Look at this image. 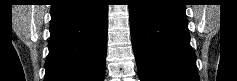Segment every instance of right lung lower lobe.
Returning a JSON list of instances; mask_svg holds the SVG:
<instances>
[{"instance_id": "obj_1", "label": "right lung lower lobe", "mask_w": 237, "mask_h": 81, "mask_svg": "<svg viewBox=\"0 0 237 81\" xmlns=\"http://www.w3.org/2000/svg\"><path fill=\"white\" fill-rule=\"evenodd\" d=\"M107 24L103 0L55 2L44 81H103Z\"/></svg>"}]
</instances>
